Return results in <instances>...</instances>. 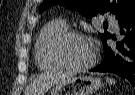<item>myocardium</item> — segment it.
<instances>
[{"label":"myocardium","mask_w":135,"mask_h":95,"mask_svg":"<svg viewBox=\"0 0 135 95\" xmlns=\"http://www.w3.org/2000/svg\"><path fill=\"white\" fill-rule=\"evenodd\" d=\"M73 38L88 39V37L82 32L75 31V30L66 31L60 37H58V39L55 41V43L53 45L54 58L57 60V62L62 67H65V68H68L71 70L88 69L96 62V59H97L96 51H93V56L87 63L81 64V65L71 64L64 57V47H65L66 43Z\"/></svg>","instance_id":"myocardium-1"}]
</instances>
